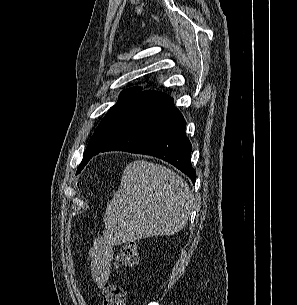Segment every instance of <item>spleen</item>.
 Instances as JSON below:
<instances>
[{
  "mask_svg": "<svg viewBox=\"0 0 297 305\" xmlns=\"http://www.w3.org/2000/svg\"><path fill=\"white\" fill-rule=\"evenodd\" d=\"M192 204V193L181 176L137 160L125 167L120 187L107 205L105 232L116 242L170 236L186 225Z\"/></svg>",
  "mask_w": 297,
  "mask_h": 305,
  "instance_id": "obj_1",
  "label": "spleen"
}]
</instances>
